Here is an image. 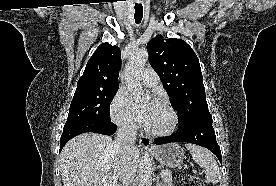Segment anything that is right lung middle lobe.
I'll return each mask as SVG.
<instances>
[{
	"instance_id": "1",
	"label": "right lung middle lobe",
	"mask_w": 276,
	"mask_h": 186,
	"mask_svg": "<svg viewBox=\"0 0 276 186\" xmlns=\"http://www.w3.org/2000/svg\"><path fill=\"white\" fill-rule=\"evenodd\" d=\"M118 87L76 89L66 124L78 121L109 122L110 101Z\"/></svg>"
}]
</instances>
